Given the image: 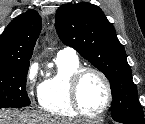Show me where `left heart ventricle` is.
Returning a JSON list of instances; mask_svg holds the SVG:
<instances>
[{
	"label": "left heart ventricle",
	"mask_w": 145,
	"mask_h": 124,
	"mask_svg": "<svg viewBox=\"0 0 145 124\" xmlns=\"http://www.w3.org/2000/svg\"><path fill=\"white\" fill-rule=\"evenodd\" d=\"M107 100L106 88L95 74H87L80 86L81 106L87 113H97Z\"/></svg>",
	"instance_id": "b2bd125f"
}]
</instances>
